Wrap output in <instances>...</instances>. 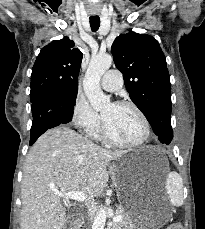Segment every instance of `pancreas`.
I'll list each match as a JSON object with an SVG mask.
<instances>
[{
    "label": "pancreas",
    "mask_w": 205,
    "mask_h": 229,
    "mask_svg": "<svg viewBox=\"0 0 205 229\" xmlns=\"http://www.w3.org/2000/svg\"><path fill=\"white\" fill-rule=\"evenodd\" d=\"M118 215L122 216L123 220L119 222H114L113 229H133L132 222L128 219L124 210H122V212H119Z\"/></svg>",
    "instance_id": "1"
}]
</instances>
